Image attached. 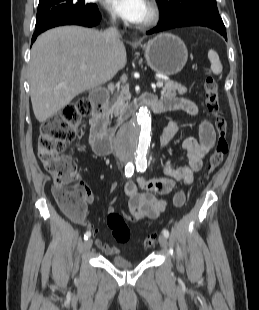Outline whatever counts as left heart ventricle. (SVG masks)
I'll return each instance as SVG.
<instances>
[{"label":"left heart ventricle","instance_id":"1","mask_svg":"<svg viewBox=\"0 0 259 310\" xmlns=\"http://www.w3.org/2000/svg\"><path fill=\"white\" fill-rule=\"evenodd\" d=\"M149 15H150V10H149L147 4H145L143 14H142V17H141V20L139 23L146 21L148 19Z\"/></svg>","mask_w":259,"mask_h":310}]
</instances>
